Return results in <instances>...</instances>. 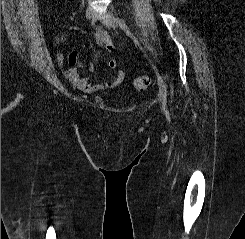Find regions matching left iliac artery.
I'll return each mask as SVG.
<instances>
[{
  "label": "left iliac artery",
  "mask_w": 245,
  "mask_h": 239,
  "mask_svg": "<svg viewBox=\"0 0 245 239\" xmlns=\"http://www.w3.org/2000/svg\"><path fill=\"white\" fill-rule=\"evenodd\" d=\"M116 20H117L119 26L121 27V29L126 33V35L129 36L133 40V42L135 43V45H137L141 50H143V48L141 47V45H140L137 37L130 31V28L128 27V25L126 24V22L124 21V19L119 18V17H116ZM152 66H153V69L156 72L158 83L163 88V91H164V102H163V104H164V106H166L167 105V85L164 82V80L162 79V77L160 76L157 68L153 64H152Z\"/></svg>",
  "instance_id": "left-iliac-artery-1"
}]
</instances>
